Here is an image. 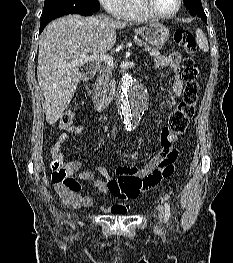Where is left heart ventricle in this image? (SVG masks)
Instances as JSON below:
<instances>
[{"label": "left heart ventricle", "mask_w": 233, "mask_h": 263, "mask_svg": "<svg viewBox=\"0 0 233 263\" xmlns=\"http://www.w3.org/2000/svg\"><path fill=\"white\" fill-rule=\"evenodd\" d=\"M150 3L157 12L167 14L174 11L177 0H150Z\"/></svg>", "instance_id": "obj_1"}]
</instances>
